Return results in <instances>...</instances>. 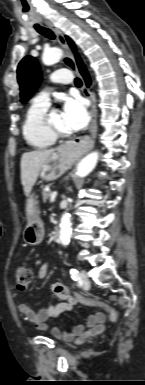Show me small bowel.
<instances>
[{
    "label": "small bowel",
    "instance_id": "1",
    "mask_svg": "<svg viewBox=\"0 0 145 385\" xmlns=\"http://www.w3.org/2000/svg\"><path fill=\"white\" fill-rule=\"evenodd\" d=\"M52 262L42 264L38 268V277L44 279L51 267ZM61 287L64 290L65 295H61L56 292L57 287ZM54 293L62 299L61 302L56 304L42 305L38 311H34L27 304H20L18 306L19 313L24 316L27 320L33 323L39 331H46L49 328L47 320L50 318H57L63 313L71 311L74 306L81 303L79 295H73L69 289L60 283L53 285ZM105 315L100 312L91 314L85 323L76 325L70 331H62L60 328L53 326L51 327V334L63 341L75 340L76 343H81L85 339L96 337L101 335L105 330Z\"/></svg>",
    "mask_w": 145,
    "mask_h": 385
}]
</instances>
